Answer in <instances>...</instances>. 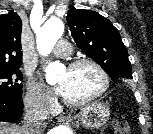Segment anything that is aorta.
Masks as SVG:
<instances>
[{"instance_id":"obj_1","label":"aorta","mask_w":153,"mask_h":134,"mask_svg":"<svg viewBox=\"0 0 153 134\" xmlns=\"http://www.w3.org/2000/svg\"><path fill=\"white\" fill-rule=\"evenodd\" d=\"M64 31L63 22L58 18L49 19L37 32V49L42 55L49 54L55 46L57 40L62 36ZM60 70V65L57 63L49 64L45 68V78L47 83L53 84L56 82V74ZM58 132H69L67 128L61 127ZM62 134V133H60Z\"/></svg>"}]
</instances>
